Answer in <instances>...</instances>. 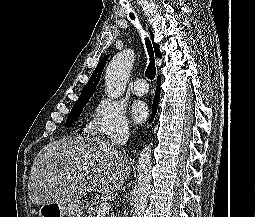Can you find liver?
<instances>
[{"label": "liver", "instance_id": "1", "mask_svg": "<svg viewBox=\"0 0 255 217\" xmlns=\"http://www.w3.org/2000/svg\"><path fill=\"white\" fill-rule=\"evenodd\" d=\"M130 174L128 158L100 137H70L50 142L31 168L28 194L32 204L67 202L96 187L100 193L118 191Z\"/></svg>", "mask_w": 255, "mask_h": 217}]
</instances>
